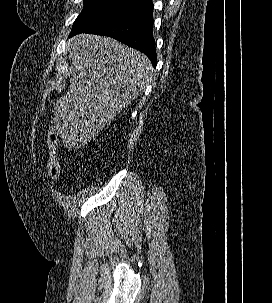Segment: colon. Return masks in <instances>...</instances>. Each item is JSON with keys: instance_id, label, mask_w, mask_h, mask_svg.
I'll return each instance as SVG.
<instances>
[{"instance_id": "5ec220e1", "label": "colon", "mask_w": 272, "mask_h": 303, "mask_svg": "<svg viewBox=\"0 0 272 303\" xmlns=\"http://www.w3.org/2000/svg\"><path fill=\"white\" fill-rule=\"evenodd\" d=\"M59 141L58 131L51 127L47 133L48 157L46 161V174L51 179H56L60 174V163L57 156Z\"/></svg>"}]
</instances>
